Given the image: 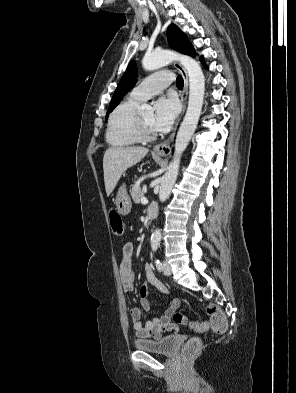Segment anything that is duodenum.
Instances as JSON below:
<instances>
[{
    "instance_id": "410a0bca",
    "label": "duodenum",
    "mask_w": 296,
    "mask_h": 393,
    "mask_svg": "<svg viewBox=\"0 0 296 393\" xmlns=\"http://www.w3.org/2000/svg\"><path fill=\"white\" fill-rule=\"evenodd\" d=\"M158 213V206L156 204L151 205L147 209V219L149 222L153 221Z\"/></svg>"
}]
</instances>
